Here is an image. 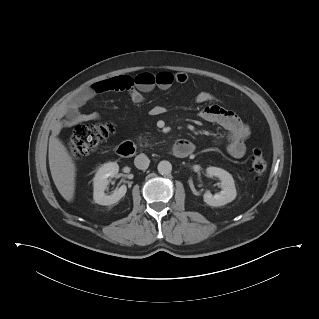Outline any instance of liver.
I'll return each mask as SVG.
<instances>
[{"label":"liver","mask_w":319,"mask_h":319,"mask_svg":"<svg viewBox=\"0 0 319 319\" xmlns=\"http://www.w3.org/2000/svg\"><path fill=\"white\" fill-rule=\"evenodd\" d=\"M49 167L54 184L68 202L75 193L76 166L62 141L52 134L49 139Z\"/></svg>","instance_id":"obj_1"}]
</instances>
